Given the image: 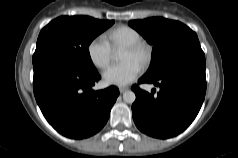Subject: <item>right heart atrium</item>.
Masks as SVG:
<instances>
[{
  "label": "right heart atrium",
  "instance_id": "obj_1",
  "mask_svg": "<svg viewBox=\"0 0 238 158\" xmlns=\"http://www.w3.org/2000/svg\"><path fill=\"white\" fill-rule=\"evenodd\" d=\"M87 53L93 65L103 69L110 63L113 49L103 36H97L89 42Z\"/></svg>",
  "mask_w": 238,
  "mask_h": 158
}]
</instances>
